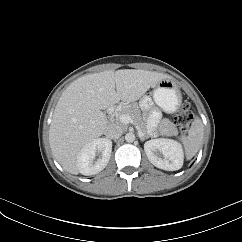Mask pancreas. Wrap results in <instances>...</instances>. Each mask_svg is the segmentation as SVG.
<instances>
[{
    "mask_svg": "<svg viewBox=\"0 0 242 242\" xmlns=\"http://www.w3.org/2000/svg\"><path fill=\"white\" fill-rule=\"evenodd\" d=\"M116 116L119 117L121 114H128L133 119V124L138 127L145 136H151L147 132L146 124L143 122L140 111L135 104L122 105L115 112ZM160 133L166 136H172L177 134L176 127L168 120H163L160 125Z\"/></svg>",
    "mask_w": 242,
    "mask_h": 242,
    "instance_id": "cf45deb5",
    "label": "pancreas"
}]
</instances>
